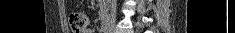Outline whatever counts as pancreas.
I'll list each match as a JSON object with an SVG mask.
<instances>
[{
	"label": "pancreas",
	"mask_w": 235,
	"mask_h": 33,
	"mask_svg": "<svg viewBox=\"0 0 235 33\" xmlns=\"http://www.w3.org/2000/svg\"><path fill=\"white\" fill-rule=\"evenodd\" d=\"M99 3L101 4V3H102V0H99Z\"/></svg>",
	"instance_id": "obj_1"
}]
</instances>
